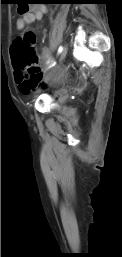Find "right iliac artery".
<instances>
[{"label": "right iliac artery", "instance_id": "right-iliac-artery-1", "mask_svg": "<svg viewBox=\"0 0 122 257\" xmlns=\"http://www.w3.org/2000/svg\"><path fill=\"white\" fill-rule=\"evenodd\" d=\"M62 51H63V47L60 46L59 49H58V53L60 54Z\"/></svg>", "mask_w": 122, "mask_h": 257}]
</instances>
